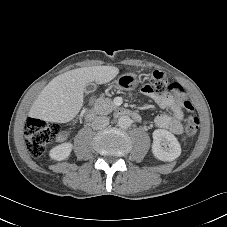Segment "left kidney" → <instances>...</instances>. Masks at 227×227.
<instances>
[{
  "label": "left kidney",
  "mask_w": 227,
  "mask_h": 227,
  "mask_svg": "<svg viewBox=\"0 0 227 227\" xmlns=\"http://www.w3.org/2000/svg\"><path fill=\"white\" fill-rule=\"evenodd\" d=\"M152 152L161 161H173L181 154L177 138L169 131L156 129L153 132Z\"/></svg>",
  "instance_id": "5707ae66"
}]
</instances>
